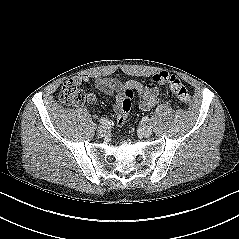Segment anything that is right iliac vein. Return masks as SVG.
Returning <instances> with one entry per match:
<instances>
[{
  "instance_id": "63e3f726",
  "label": "right iliac vein",
  "mask_w": 239,
  "mask_h": 239,
  "mask_svg": "<svg viewBox=\"0 0 239 239\" xmlns=\"http://www.w3.org/2000/svg\"><path fill=\"white\" fill-rule=\"evenodd\" d=\"M97 132L100 136L104 137L109 134V128L105 125H101L98 127Z\"/></svg>"
}]
</instances>
